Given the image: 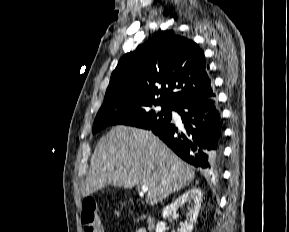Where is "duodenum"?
Returning a JSON list of instances; mask_svg holds the SVG:
<instances>
[{"mask_svg": "<svg viewBox=\"0 0 289 232\" xmlns=\"http://www.w3.org/2000/svg\"><path fill=\"white\" fill-rule=\"evenodd\" d=\"M147 226H148L149 231L153 230V228H154V218L153 217L149 216L147 218Z\"/></svg>", "mask_w": 289, "mask_h": 232, "instance_id": "obj_1", "label": "duodenum"}]
</instances>
